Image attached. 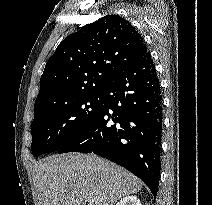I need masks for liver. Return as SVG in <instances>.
<instances>
[{"instance_id":"6515ba94","label":"liver","mask_w":212,"mask_h":205,"mask_svg":"<svg viewBox=\"0 0 212 205\" xmlns=\"http://www.w3.org/2000/svg\"><path fill=\"white\" fill-rule=\"evenodd\" d=\"M37 205H114L142 182L95 154L51 156L33 166ZM89 200V201H87Z\"/></svg>"}]
</instances>
